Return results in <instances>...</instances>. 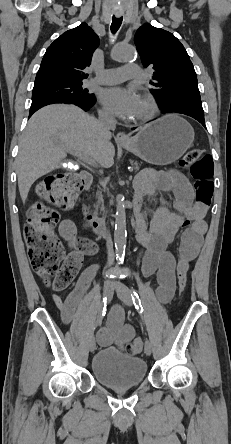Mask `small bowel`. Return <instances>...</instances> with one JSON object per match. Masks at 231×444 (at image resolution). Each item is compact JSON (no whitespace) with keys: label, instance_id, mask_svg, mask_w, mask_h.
<instances>
[{"label":"small bowel","instance_id":"small-bowel-1","mask_svg":"<svg viewBox=\"0 0 231 444\" xmlns=\"http://www.w3.org/2000/svg\"><path fill=\"white\" fill-rule=\"evenodd\" d=\"M137 192L135 204L140 206L144 197L153 196L156 189L173 193V209L160 206L154 211L153 219L147 224L145 215L139 213L136 235L142 247L141 266L144 275L156 274V295L160 302H169L175 291L176 274L187 272L190 263L197 257L206 231L205 215L207 205L195 203L192 187L188 179L179 171H146L135 181ZM183 225H190L185 232L180 247L179 259L168 250L176 233ZM59 233L66 240L71 251L82 255L95 253L96 246L84 239H79L76 225L69 219L61 222ZM95 269L89 267L80 275L74 289L65 299L53 296L55 305L61 312L65 324H70L75 312L88 290ZM98 342L102 346L124 344L135 337L131 326L124 324L123 312L116 307L110 314L106 327L98 332Z\"/></svg>","mask_w":231,"mask_h":444}]
</instances>
